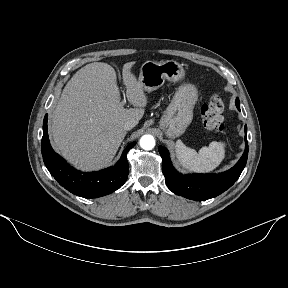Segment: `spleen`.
I'll use <instances>...</instances> for the list:
<instances>
[{
  "label": "spleen",
  "mask_w": 288,
  "mask_h": 288,
  "mask_svg": "<svg viewBox=\"0 0 288 288\" xmlns=\"http://www.w3.org/2000/svg\"><path fill=\"white\" fill-rule=\"evenodd\" d=\"M175 153L178 163L183 168L191 172L208 173L216 169L225 158V143L213 141L196 152L178 140Z\"/></svg>",
  "instance_id": "obj_1"
}]
</instances>
